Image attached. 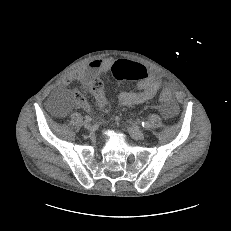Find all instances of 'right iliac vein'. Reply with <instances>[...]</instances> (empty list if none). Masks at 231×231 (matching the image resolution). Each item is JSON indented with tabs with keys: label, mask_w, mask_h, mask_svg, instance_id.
<instances>
[{
	"label": "right iliac vein",
	"mask_w": 231,
	"mask_h": 231,
	"mask_svg": "<svg viewBox=\"0 0 231 231\" xmlns=\"http://www.w3.org/2000/svg\"><path fill=\"white\" fill-rule=\"evenodd\" d=\"M83 125H84V127H85L87 130H90V129H91V124H90V122L85 121V122L83 123Z\"/></svg>",
	"instance_id": "1"
}]
</instances>
